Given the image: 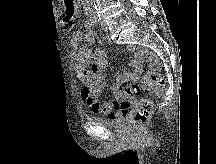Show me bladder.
Segmentation results:
<instances>
[{
  "label": "bladder",
  "instance_id": "1",
  "mask_svg": "<svg viewBox=\"0 0 216 164\" xmlns=\"http://www.w3.org/2000/svg\"><path fill=\"white\" fill-rule=\"evenodd\" d=\"M91 119L100 125L108 127H121L125 123V115L114 120L104 119L100 117H92Z\"/></svg>",
  "mask_w": 216,
  "mask_h": 164
}]
</instances>
